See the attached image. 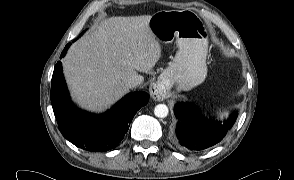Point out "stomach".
Returning <instances> with one entry per match:
<instances>
[{"label": "stomach", "mask_w": 294, "mask_h": 180, "mask_svg": "<svg viewBox=\"0 0 294 180\" xmlns=\"http://www.w3.org/2000/svg\"><path fill=\"white\" fill-rule=\"evenodd\" d=\"M149 28L161 43L174 39L178 51L172 64L158 79L161 90H190L207 75L208 33L202 20L192 11H158L151 16Z\"/></svg>", "instance_id": "stomach-1"}]
</instances>
